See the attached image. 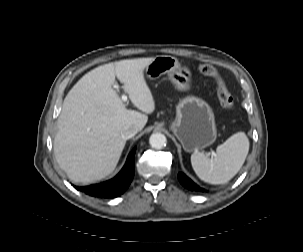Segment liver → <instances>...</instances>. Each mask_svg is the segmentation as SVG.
Listing matches in <instances>:
<instances>
[{"mask_svg": "<svg viewBox=\"0 0 303 252\" xmlns=\"http://www.w3.org/2000/svg\"><path fill=\"white\" fill-rule=\"evenodd\" d=\"M153 57L126 59L99 66L85 74L68 92L57 120L55 159L75 183H90L111 174L126 140L121 129L144 128L155 109L144 70ZM115 77L132 104L129 110L113 89Z\"/></svg>", "mask_w": 303, "mask_h": 252, "instance_id": "liver-1", "label": "liver"}]
</instances>
